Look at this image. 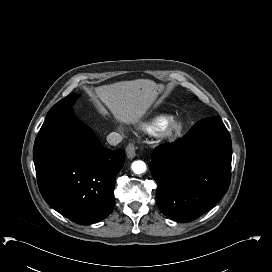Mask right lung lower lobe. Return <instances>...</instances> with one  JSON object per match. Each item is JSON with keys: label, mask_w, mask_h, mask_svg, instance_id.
<instances>
[{"label": "right lung lower lobe", "mask_w": 272, "mask_h": 272, "mask_svg": "<svg viewBox=\"0 0 272 272\" xmlns=\"http://www.w3.org/2000/svg\"><path fill=\"white\" fill-rule=\"evenodd\" d=\"M38 186L44 200L77 224L89 225L112 212L115 179L124 150L104 148L67 108L46 117L34 144Z\"/></svg>", "instance_id": "98d812e1"}]
</instances>
